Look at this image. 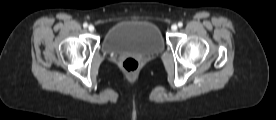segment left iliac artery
<instances>
[{
	"label": "left iliac artery",
	"instance_id": "44dca946",
	"mask_svg": "<svg viewBox=\"0 0 276 120\" xmlns=\"http://www.w3.org/2000/svg\"><path fill=\"white\" fill-rule=\"evenodd\" d=\"M178 26H179V27H182V26H183V23H182V22H179V23H178Z\"/></svg>",
	"mask_w": 276,
	"mask_h": 120
}]
</instances>
